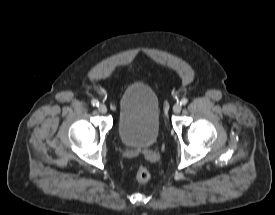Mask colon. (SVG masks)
<instances>
[{"instance_id": "colon-1", "label": "colon", "mask_w": 275, "mask_h": 215, "mask_svg": "<svg viewBox=\"0 0 275 215\" xmlns=\"http://www.w3.org/2000/svg\"><path fill=\"white\" fill-rule=\"evenodd\" d=\"M136 179L140 182H146L150 179V171L144 166H138L136 169Z\"/></svg>"}]
</instances>
